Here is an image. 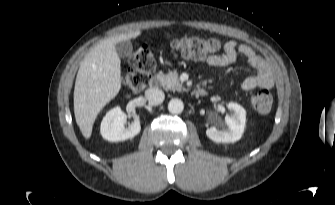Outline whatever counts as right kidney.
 Returning <instances> with one entry per match:
<instances>
[{"instance_id": "ca27d5eb", "label": "right kidney", "mask_w": 335, "mask_h": 205, "mask_svg": "<svg viewBox=\"0 0 335 205\" xmlns=\"http://www.w3.org/2000/svg\"><path fill=\"white\" fill-rule=\"evenodd\" d=\"M126 114L121 108L116 107L110 110L101 122V135L111 142L123 141L136 136L140 130V118L134 117V122L125 127Z\"/></svg>"}]
</instances>
